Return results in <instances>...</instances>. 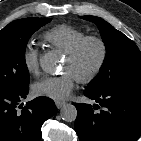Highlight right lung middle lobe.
<instances>
[{"label": "right lung middle lobe", "instance_id": "obj_1", "mask_svg": "<svg viewBox=\"0 0 141 141\" xmlns=\"http://www.w3.org/2000/svg\"><path fill=\"white\" fill-rule=\"evenodd\" d=\"M50 18H24L0 31V92L18 91L28 86L25 49L31 35Z\"/></svg>", "mask_w": 141, "mask_h": 141}]
</instances>
